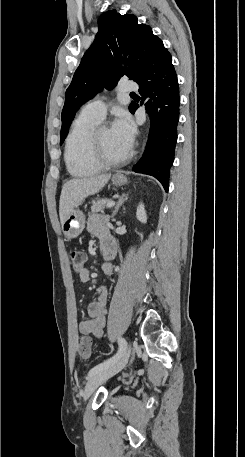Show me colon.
Segmentation results:
<instances>
[{"mask_svg": "<svg viewBox=\"0 0 245 457\" xmlns=\"http://www.w3.org/2000/svg\"><path fill=\"white\" fill-rule=\"evenodd\" d=\"M68 256L73 269L80 272L85 265V254L78 249H70ZM77 352L82 359H89L91 356V339L87 336H82L77 342Z\"/></svg>", "mask_w": 245, "mask_h": 457, "instance_id": "5ec220e1", "label": "colon"}]
</instances>
